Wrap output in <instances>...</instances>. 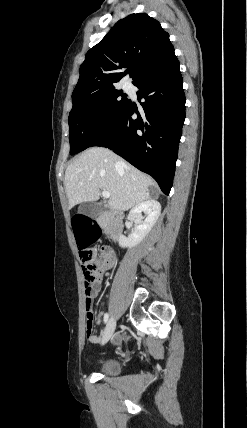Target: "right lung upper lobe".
<instances>
[{
	"label": "right lung upper lobe",
	"instance_id": "1",
	"mask_svg": "<svg viewBox=\"0 0 247 428\" xmlns=\"http://www.w3.org/2000/svg\"><path fill=\"white\" fill-rule=\"evenodd\" d=\"M174 47L160 23L145 13L118 21L86 54L72 100L85 94L114 88L130 70L132 83L160 68L174 57Z\"/></svg>",
	"mask_w": 247,
	"mask_h": 428
}]
</instances>
